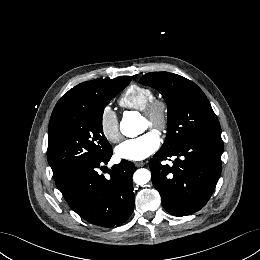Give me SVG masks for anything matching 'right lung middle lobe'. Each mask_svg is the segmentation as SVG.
I'll return each instance as SVG.
<instances>
[{
	"instance_id": "obj_1",
	"label": "right lung middle lobe",
	"mask_w": 260,
	"mask_h": 260,
	"mask_svg": "<svg viewBox=\"0 0 260 260\" xmlns=\"http://www.w3.org/2000/svg\"><path fill=\"white\" fill-rule=\"evenodd\" d=\"M128 83L110 84L91 94L86 101L49 125L47 158L54 178L82 163L112 153L102 129V115L109 101Z\"/></svg>"
}]
</instances>
